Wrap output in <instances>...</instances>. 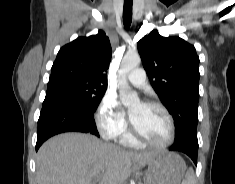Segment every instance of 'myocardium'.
Returning <instances> with one entry per match:
<instances>
[{
	"instance_id": "myocardium-1",
	"label": "myocardium",
	"mask_w": 235,
	"mask_h": 184,
	"mask_svg": "<svg viewBox=\"0 0 235 184\" xmlns=\"http://www.w3.org/2000/svg\"><path fill=\"white\" fill-rule=\"evenodd\" d=\"M145 106L148 107H158L161 110H163V112L166 114L168 120H169V125H170V133H169V137L167 139L166 142L162 143V144H157L152 142L151 140H149L148 138L144 137L143 135H141L137 129L134 127L132 121L130 123V133L132 135V137L134 138V140H136L137 142H140L142 144L148 145L152 148L155 149H160V150H164L169 148L174 140H175V136H176V125H175V119L174 116L172 115V113L170 112V110L161 102L158 101H148L144 103Z\"/></svg>"
}]
</instances>
